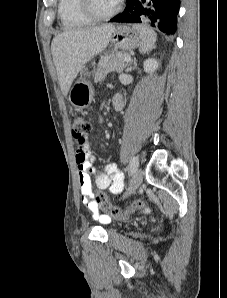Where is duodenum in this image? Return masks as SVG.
I'll return each instance as SVG.
<instances>
[{
	"label": "duodenum",
	"mask_w": 227,
	"mask_h": 298,
	"mask_svg": "<svg viewBox=\"0 0 227 298\" xmlns=\"http://www.w3.org/2000/svg\"><path fill=\"white\" fill-rule=\"evenodd\" d=\"M112 105L115 110H121L124 105L122 97L115 95L112 99Z\"/></svg>",
	"instance_id": "410a0bca"
}]
</instances>
